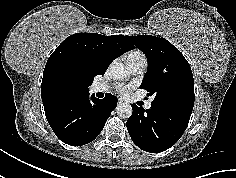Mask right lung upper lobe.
<instances>
[{
  "label": "right lung upper lobe",
  "mask_w": 236,
  "mask_h": 178,
  "mask_svg": "<svg viewBox=\"0 0 236 178\" xmlns=\"http://www.w3.org/2000/svg\"><path fill=\"white\" fill-rule=\"evenodd\" d=\"M134 48L128 36H104L97 33H77L67 37L49 57L41 84L43 105L89 92L86 82L103 75L109 64L119 55ZM73 73L82 83L69 92H61V76Z\"/></svg>",
  "instance_id": "obj_1"
}]
</instances>
